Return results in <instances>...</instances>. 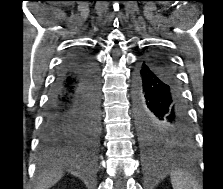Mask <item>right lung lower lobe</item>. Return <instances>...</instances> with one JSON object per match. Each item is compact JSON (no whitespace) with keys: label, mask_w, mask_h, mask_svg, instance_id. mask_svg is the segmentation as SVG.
I'll return each instance as SVG.
<instances>
[{"label":"right lung lower lobe","mask_w":223,"mask_h":189,"mask_svg":"<svg viewBox=\"0 0 223 189\" xmlns=\"http://www.w3.org/2000/svg\"><path fill=\"white\" fill-rule=\"evenodd\" d=\"M100 130L98 68L85 52L69 55L51 87L42 130L41 148L56 153L94 150Z\"/></svg>","instance_id":"98d812e1"}]
</instances>
